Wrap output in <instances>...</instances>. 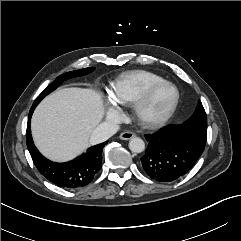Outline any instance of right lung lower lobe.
Returning a JSON list of instances; mask_svg holds the SVG:
<instances>
[{"mask_svg": "<svg viewBox=\"0 0 241 241\" xmlns=\"http://www.w3.org/2000/svg\"><path fill=\"white\" fill-rule=\"evenodd\" d=\"M35 107L32 106L29 112L26 142L38 171L52 183L66 189L79 188L89 184L101 168L102 151L107 141L90 147L86 153L72 161L65 163L52 162L37 150L32 140L30 120Z\"/></svg>", "mask_w": 241, "mask_h": 241, "instance_id": "98d812e1", "label": "right lung lower lobe"}]
</instances>
